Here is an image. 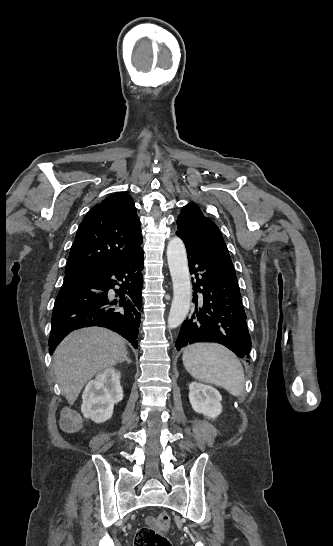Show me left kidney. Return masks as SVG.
I'll list each match as a JSON object with an SVG mask.
<instances>
[{
  "instance_id": "left-kidney-1",
  "label": "left kidney",
  "mask_w": 333,
  "mask_h": 546,
  "mask_svg": "<svg viewBox=\"0 0 333 546\" xmlns=\"http://www.w3.org/2000/svg\"><path fill=\"white\" fill-rule=\"evenodd\" d=\"M189 400L193 410L209 419H215L222 412L221 395L212 386L192 382L189 385Z\"/></svg>"
}]
</instances>
